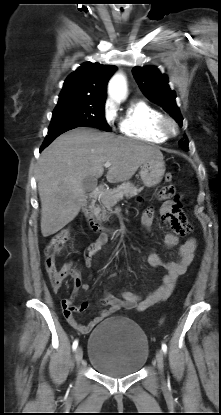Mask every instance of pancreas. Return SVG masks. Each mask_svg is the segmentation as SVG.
Here are the masks:
<instances>
[{
	"mask_svg": "<svg viewBox=\"0 0 221 415\" xmlns=\"http://www.w3.org/2000/svg\"><path fill=\"white\" fill-rule=\"evenodd\" d=\"M141 190L142 188H137L130 182H124L112 190H105L100 195V205H98L93 211L95 217L99 221H108L109 216L107 213L117 204V202H119L124 196L127 198L134 197L138 195Z\"/></svg>",
	"mask_w": 221,
	"mask_h": 415,
	"instance_id": "cf45deb5",
	"label": "pancreas"
}]
</instances>
